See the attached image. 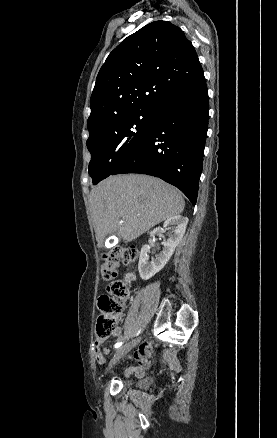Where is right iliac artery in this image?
Listing matches in <instances>:
<instances>
[{
    "mask_svg": "<svg viewBox=\"0 0 277 438\" xmlns=\"http://www.w3.org/2000/svg\"><path fill=\"white\" fill-rule=\"evenodd\" d=\"M137 335H138V334H137ZM122 344H123L122 342H118V343L115 344L114 347H115V348H119Z\"/></svg>",
    "mask_w": 277,
    "mask_h": 438,
    "instance_id": "right-iliac-artery-1",
    "label": "right iliac artery"
}]
</instances>
